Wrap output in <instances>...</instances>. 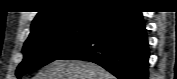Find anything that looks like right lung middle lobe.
I'll list each match as a JSON object with an SVG mask.
<instances>
[{
    "label": "right lung middle lobe",
    "instance_id": "obj_1",
    "mask_svg": "<svg viewBox=\"0 0 177 79\" xmlns=\"http://www.w3.org/2000/svg\"><path fill=\"white\" fill-rule=\"evenodd\" d=\"M101 16L93 13L33 29L24 44V59L17 68V77L58 60L87 37Z\"/></svg>",
    "mask_w": 177,
    "mask_h": 79
}]
</instances>
